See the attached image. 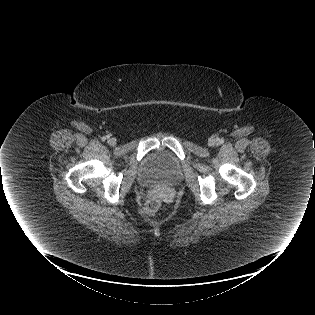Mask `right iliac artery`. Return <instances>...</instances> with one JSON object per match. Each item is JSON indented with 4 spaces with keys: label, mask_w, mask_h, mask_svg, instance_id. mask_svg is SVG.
<instances>
[{
    "label": "right iliac artery",
    "mask_w": 315,
    "mask_h": 315,
    "mask_svg": "<svg viewBox=\"0 0 315 315\" xmlns=\"http://www.w3.org/2000/svg\"><path fill=\"white\" fill-rule=\"evenodd\" d=\"M102 140L105 141V140H106V137H102Z\"/></svg>",
    "instance_id": "right-iliac-artery-1"
}]
</instances>
